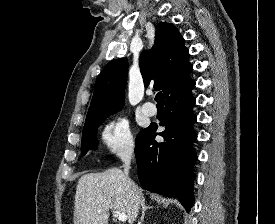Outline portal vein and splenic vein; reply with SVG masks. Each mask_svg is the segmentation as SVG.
<instances>
[{
    "label": "portal vein and splenic vein",
    "instance_id": "1",
    "mask_svg": "<svg viewBox=\"0 0 275 224\" xmlns=\"http://www.w3.org/2000/svg\"><path fill=\"white\" fill-rule=\"evenodd\" d=\"M114 216L121 222H125L127 220V216L119 211H114Z\"/></svg>",
    "mask_w": 275,
    "mask_h": 224
}]
</instances>
